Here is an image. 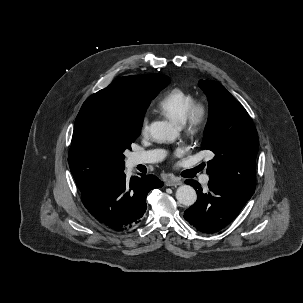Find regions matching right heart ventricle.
I'll return each mask as SVG.
<instances>
[{
	"mask_svg": "<svg viewBox=\"0 0 303 303\" xmlns=\"http://www.w3.org/2000/svg\"><path fill=\"white\" fill-rule=\"evenodd\" d=\"M195 100L194 95L184 89H169L158 101V110L167 117L182 123L189 106Z\"/></svg>",
	"mask_w": 303,
	"mask_h": 303,
	"instance_id": "right-heart-ventricle-1",
	"label": "right heart ventricle"
}]
</instances>
